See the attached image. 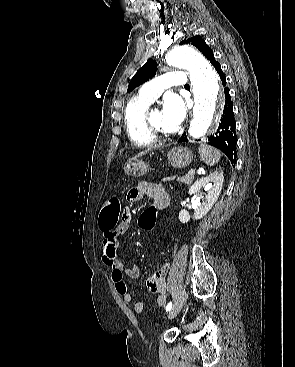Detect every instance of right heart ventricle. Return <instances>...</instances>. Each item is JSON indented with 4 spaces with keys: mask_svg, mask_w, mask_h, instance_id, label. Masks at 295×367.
Here are the masks:
<instances>
[{
    "mask_svg": "<svg viewBox=\"0 0 295 367\" xmlns=\"http://www.w3.org/2000/svg\"><path fill=\"white\" fill-rule=\"evenodd\" d=\"M150 103V101L138 96L132 98L125 107L126 132L132 143L138 147L151 146L155 142L145 125V116Z\"/></svg>",
    "mask_w": 295,
    "mask_h": 367,
    "instance_id": "e07e8e85",
    "label": "right heart ventricle"
}]
</instances>
